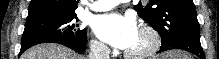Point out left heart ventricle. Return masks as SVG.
Instances as JSON below:
<instances>
[{
  "label": "left heart ventricle",
  "instance_id": "left-heart-ventricle-1",
  "mask_svg": "<svg viewBox=\"0 0 219 59\" xmlns=\"http://www.w3.org/2000/svg\"><path fill=\"white\" fill-rule=\"evenodd\" d=\"M148 37L141 34L140 32L132 42V44L127 48L129 51H141L148 45Z\"/></svg>",
  "mask_w": 219,
  "mask_h": 59
}]
</instances>
